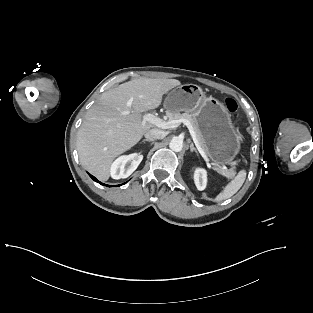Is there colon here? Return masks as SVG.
Listing matches in <instances>:
<instances>
[{
    "label": "colon",
    "instance_id": "colon-1",
    "mask_svg": "<svg viewBox=\"0 0 313 313\" xmlns=\"http://www.w3.org/2000/svg\"><path fill=\"white\" fill-rule=\"evenodd\" d=\"M224 105L229 112H235L237 109V103L235 100L231 98H227L224 100Z\"/></svg>",
    "mask_w": 313,
    "mask_h": 313
}]
</instances>
